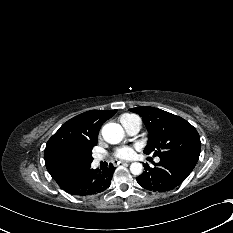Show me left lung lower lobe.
<instances>
[{
	"label": "left lung lower lobe",
	"mask_w": 233,
	"mask_h": 233,
	"mask_svg": "<svg viewBox=\"0 0 233 233\" xmlns=\"http://www.w3.org/2000/svg\"><path fill=\"white\" fill-rule=\"evenodd\" d=\"M154 167L144 164L145 171L136 178L138 184L150 191H169L180 185L193 168L168 157H159Z\"/></svg>",
	"instance_id": "left-lung-lower-lobe-1"
}]
</instances>
